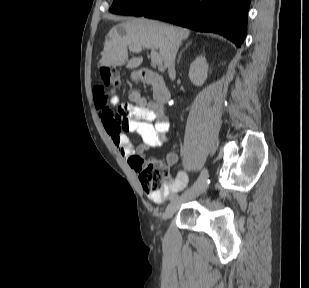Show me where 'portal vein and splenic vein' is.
I'll list each match as a JSON object with an SVG mask.
<instances>
[{
  "label": "portal vein and splenic vein",
  "instance_id": "portal-vein-and-splenic-vein-1",
  "mask_svg": "<svg viewBox=\"0 0 309 288\" xmlns=\"http://www.w3.org/2000/svg\"><path fill=\"white\" fill-rule=\"evenodd\" d=\"M131 51L133 52H140L142 50L141 47H134L130 48ZM151 61L155 65H162V58L161 56L154 50L151 51Z\"/></svg>",
  "mask_w": 309,
  "mask_h": 288
}]
</instances>
